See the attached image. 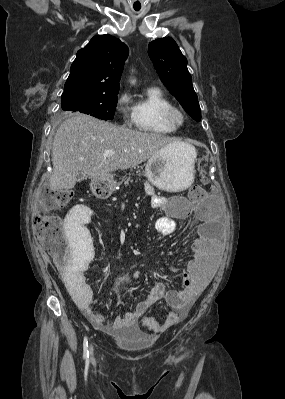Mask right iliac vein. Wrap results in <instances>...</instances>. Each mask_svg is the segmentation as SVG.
Here are the masks:
<instances>
[{"mask_svg":"<svg viewBox=\"0 0 285 399\" xmlns=\"http://www.w3.org/2000/svg\"><path fill=\"white\" fill-rule=\"evenodd\" d=\"M93 352H94V348H93V345L91 344L90 345V354H91V356L93 355Z\"/></svg>","mask_w":285,"mask_h":399,"instance_id":"63e3f726","label":"right iliac vein"}]
</instances>
